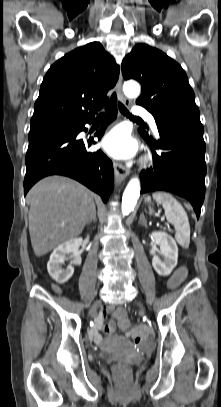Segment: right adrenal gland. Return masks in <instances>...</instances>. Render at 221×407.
<instances>
[{"label": "right adrenal gland", "instance_id": "right-adrenal-gland-1", "mask_svg": "<svg viewBox=\"0 0 221 407\" xmlns=\"http://www.w3.org/2000/svg\"><path fill=\"white\" fill-rule=\"evenodd\" d=\"M92 222H96V207L95 206H94L92 215L90 216V218L87 221V225H89Z\"/></svg>", "mask_w": 221, "mask_h": 407}]
</instances>
